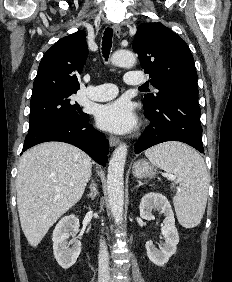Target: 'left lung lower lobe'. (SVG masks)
<instances>
[{
	"label": "left lung lower lobe",
	"mask_w": 232,
	"mask_h": 282,
	"mask_svg": "<svg viewBox=\"0 0 232 282\" xmlns=\"http://www.w3.org/2000/svg\"><path fill=\"white\" fill-rule=\"evenodd\" d=\"M150 124L134 145L135 153L166 141L186 143L204 153L198 94L168 95L158 106L144 105Z\"/></svg>",
	"instance_id": "0a47b994"
}]
</instances>
